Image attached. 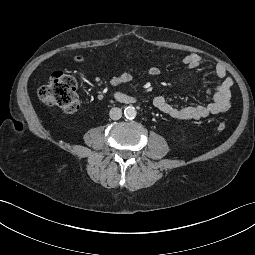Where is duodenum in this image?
I'll return each instance as SVG.
<instances>
[{
    "instance_id": "duodenum-1",
    "label": "duodenum",
    "mask_w": 255,
    "mask_h": 255,
    "mask_svg": "<svg viewBox=\"0 0 255 255\" xmlns=\"http://www.w3.org/2000/svg\"><path fill=\"white\" fill-rule=\"evenodd\" d=\"M115 97L120 100L121 102L124 103H134L135 102V98L128 96L124 93L118 92L115 94Z\"/></svg>"
}]
</instances>
